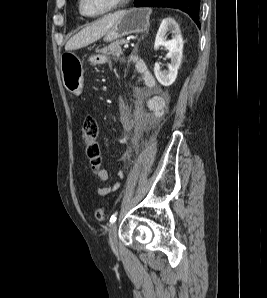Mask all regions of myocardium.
Segmentation results:
<instances>
[{"label":"myocardium","instance_id":"f54148a6","mask_svg":"<svg viewBox=\"0 0 267 298\" xmlns=\"http://www.w3.org/2000/svg\"><path fill=\"white\" fill-rule=\"evenodd\" d=\"M129 1L130 0H116L108 9H106L100 13H97V14H88L83 9V0H79V11L85 17L97 18V17H102L104 15L110 14V13L120 9L121 7L126 5Z\"/></svg>","mask_w":267,"mask_h":298}]
</instances>
